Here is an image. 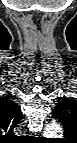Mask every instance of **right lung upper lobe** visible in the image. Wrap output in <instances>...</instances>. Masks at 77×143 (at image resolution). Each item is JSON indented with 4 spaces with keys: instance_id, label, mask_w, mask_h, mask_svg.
Here are the masks:
<instances>
[{
    "instance_id": "cb5924a9",
    "label": "right lung upper lobe",
    "mask_w": 77,
    "mask_h": 143,
    "mask_svg": "<svg viewBox=\"0 0 77 143\" xmlns=\"http://www.w3.org/2000/svg\"><path fill=\"white\" fill-rule=\"evenodd\" d=\"M23 119L21 109L12 100L0 99V128L2 134H12L13 129Z\"/></svg>"
}]
</instances>
